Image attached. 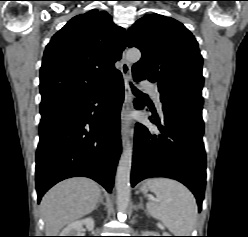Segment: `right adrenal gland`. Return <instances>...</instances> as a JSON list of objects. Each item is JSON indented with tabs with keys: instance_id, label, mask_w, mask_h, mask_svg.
Wrapping results in <instances>:
<instances>
[{
	"instance_id": "obj_1",
	"label": "right adrenal gland",
	"mask_w": 248,
	"mask_h": 237,
	"mask_svg": "<svg viewBox=\"0 0 248 237\" xmlns=\"http://www.w3.org/2000/svg\"><path fill=\"white\" fill-rule=\"evenodd\" d=\"M100 204H104L102 194L100 195L99 201L97 202V206L95 207V209H97Z\"/></svg>"
}]
</instances>
